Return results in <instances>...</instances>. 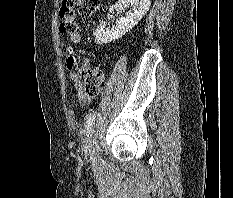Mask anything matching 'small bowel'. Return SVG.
I'll list each match as a JSON object with an SVG mask.
<instances>
[{"mask_svg": "<svg viewBox=\"0 0 233 198\" xmlns=\"http://www.w3.org/2000/svg\"><path fill=\"white\" fill-rule=\"evenodd\" d=\"M93 97H94V95H88V94H85L82 91H79L78 95H77L78 102L81 105H85V104L89 103L93 99Z\"/></svg>", "mask_w": 233, "mask_h": 198, "instance_id": "obj_1", "label": "small bowel"}]
</instances>
